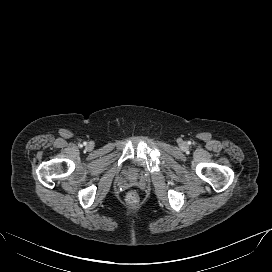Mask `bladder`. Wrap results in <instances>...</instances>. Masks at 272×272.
<instances>
[{"label": "bladder", "mask_w": 272, "mask_h": 272, "mask_svg": "<svg viewBox=\"0 0 272 272\" xmlns=\"http://www.w3.org/2000/svg\"><path fill=\"white\" fill-rule=\"evenodd\" d=\"M126 176L129 179H136L139 176V170L137 168H135V167H129L126 170Z\"/></svg>", "instance_id": "bladder-1"}]
</instances>
